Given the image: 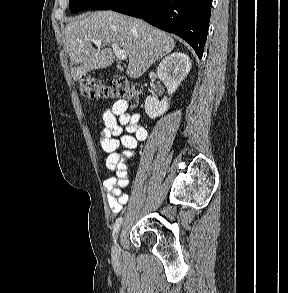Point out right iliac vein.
Instances as JSON below:
<instances>
[{"instance_id":"63e3f726","label":"right iliac vein","mask_w":288,"mask_h":293,"mask_svg":"<svg viewBox=\"0 0 288 293\" xmlns=\"http://www.w3.org/2000/svg\"><path fill=\"white\" fill-rule=\"evenodd\" d=\"M119 255H120V247H119L118 243L115 242V244H114V246H113V250H112V256H113V259H114L115 261L118 260Z\"/></svg>"}]
</instances>
